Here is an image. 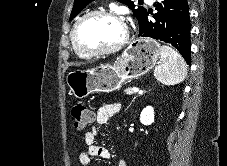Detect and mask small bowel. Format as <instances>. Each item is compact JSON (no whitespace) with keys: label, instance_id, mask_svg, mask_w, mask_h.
Returning a JSON list of instances; mask_svg holds the SVG:
<instances>
[{"label":"small bowel","instance_id":"c3829d8e","mask_svg":"<svg viewBox=\"0 0 227 166\" xmlns=\"http://www.w3.org/2000/svg\"><path fill=\"white\" fill-rule=\"evenodd\" d=\"M121 109L119 103L104 104L101 105L97 113L93 115L94 126L91 131L84 134L83 139L86 145L85 149L79 156V161L82 166H90L91 158L95 156L102 157L104 159H112V154L105 148L96 145V139L99 136L98 127L107 123L108 120L117 114ZM117 166H126L124 160H119Z\"/></svg>","mask_w":227,"mask_h":166}]
</instances>
